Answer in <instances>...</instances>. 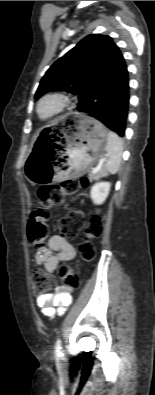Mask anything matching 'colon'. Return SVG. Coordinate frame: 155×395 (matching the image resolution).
Listing matches in <instances>:
<instances>
[{
	"label": "colon",
	"mask_w": 155,
	"mask_h": 395,
	"mask_svg": "<svg viewBox=\"0 0 155 395\" xmlns=\"http://www.w3.org/2000/svg\"><path fill=\"white\" fill-rule=\"evenodd\" d=\"M87 178L68 179L59 184L40 186L37 196L43 209L48 210L63 203L68 195L75 194L81 186L87 184ZM59 230L62 236L74 238L84 228L85 238L79 245V255L82 261L91 262L96 256V250L92 240L101 237L104 224L101 216L96 213L85 224V218L80 211H70L59 222ZM46 224L41 216H33L27 227V235L31 244L41 246L46 238ZM60 281H65L66 286L75 289L79 286L76 268H59ZM54 286V278L41 269L32 274V287L34 293L41 295L47 293Z\"/></svg>",
	"instance_id": "colon-1"
}]
</instances>
